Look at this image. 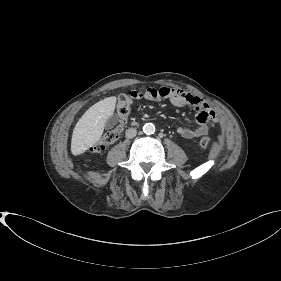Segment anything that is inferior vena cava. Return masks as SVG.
<instances>
[{"mask_svg": "<svg viewBox=\"0 0 281 281\" xmlns=\"http://www.w3.org/2000/svg\"><path fill=\"white\" fill-rule=\"evenodd\" d=\"M137 134V131L135 128H129L126 130V138H134Z\"/></svg>", "mask_w": 281, "mask_h": 281, "instance_id": "inferior-vena-cava-1", "label": "inferior vena cava"}]
</instances>
